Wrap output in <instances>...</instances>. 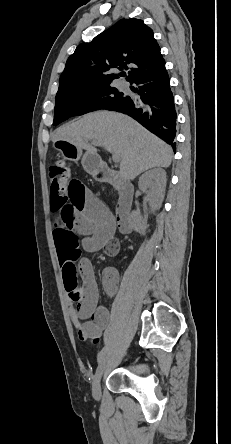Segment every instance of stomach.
I'll return each instance as SVG.
<instances>
[{
    "label": "stomach",
    "instance_id": "1",
    "mask_svg": "<svg viewBox=\"0 0 231 444\" xmlns=\"http://www.w3.org/2000/svg\"><path fill=\"white\" fill-rule=\"evenodd\" d=\"M54 147L59 150L64 160L76 162L82 156V151L66 140H57ZM84 169L90 174H97L103 166L99 156L85 153L82 158Z\"/></svg>",
    "mask_w": 231,
    "mask_h": 444
}]
</instances>
